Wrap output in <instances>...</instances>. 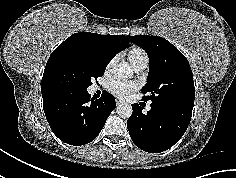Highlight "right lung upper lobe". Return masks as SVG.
I'll return each instance as SVG.
<instances>
[{"mask_svg": "<svg viewBox=\"0 0 236 178\" xmlns=\"http://www.w3.org/2000/svg\"><path fill=\"white\" fill-rule=\"evenodd\" d=\"M129 47V37L124 35H100L96 33L80 32L71 35L62 42L50 55L41 82L42 97L44 81L51 68L65 55L83 52L104 57L109 61L121 50Z\"/></svg>", "mask_w": 236, "mask_h": 178, "instance_id": "obj_1", "label": "right lung upper lobe"}]
</instances>
